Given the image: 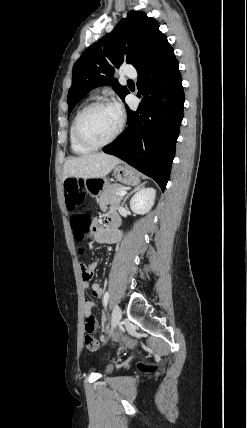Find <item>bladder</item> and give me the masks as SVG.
Listing matches in <instances>:
<instances>
[{"mask_svg": "<svg viewBox=\"0 0 247 428\" xmlns=\"http://www.w3.org/2000/svg\"><path fill=\"white\" fill-rule=\"evenodd\" d=\"M112 370V365H108L105 369L106 373H109Z\"/></svg>", "mask_w": 247, "mask_h": 428, "instance_id": "bladder-1", "label": "bladder"}]
</instances>
